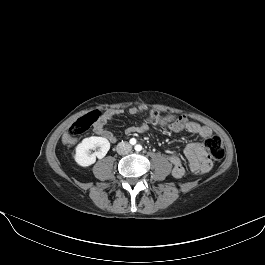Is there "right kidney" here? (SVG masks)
Returning a JSON list of instances; mask_svg holds the SVG:
<instances>
[{
	"label": "right kidney",
	"mask_w": 265,
	"mask_h": 265,
	"mask_svg": "<svg viewBox=\"0 0 265 265\" xmlns=\"http://www.w3.org/2000/svg\"><path fill=\"white\" fill-rule=\"evenodd\" d=\"M96 147H99V150L96 153L90 154V150H94ZM109 149L110 143L106 138L88 137L77 145L74 159L78 165L88 167L95 163L96 158H104Z\"/></svg>",
	"instance_id": "1"
}]
</instances>
